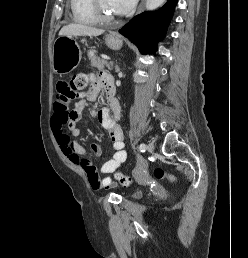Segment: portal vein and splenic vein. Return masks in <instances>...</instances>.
<instances>
[{
    "label": "portal vein and splenic vein",
    "mask_w": 248,
    "mask_h": 258,
    "mask_svg": "<svg viewBox=\"0 0 248 258\" xmlns=\"http://www.w3.org/2000/svg\"><path fill=\"white\" fill-rule=\"evenodd\" d=\"M105 59H107V60H109L110 58H108V57H104Z\"/></svg>",
    "instance_id": "18ae733b"
}]
</instances>
